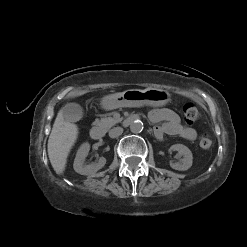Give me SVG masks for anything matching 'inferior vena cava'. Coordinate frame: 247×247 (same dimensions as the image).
Wrapping results in <instances>:
<instances>
[{"instance_id": "1", "label": "inferior vena cava", "mask_w": 247, "mask_h": 247, "mask_svg": "<svg viewBox=\"0 0 247 247\" xmlns=\"http://www.w3.org/2000/svg\"><path fill=\"white\" fill-rule=\"evenodd\" d=\"M123 133V128L121 127H115L109 131V136L111 138H116L120 136Z\"/></svg>"}]
</instances>
